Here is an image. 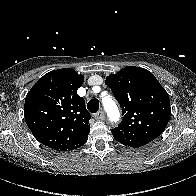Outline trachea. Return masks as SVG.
<instances>
[{"instance_id": "1", "label": "trachea", "mask_w": 196, "mask_h": 196, "mask_svg": "<svg viewBox=\"0 0 196 196\" xmlns=\"http://www.w3.org/2000/svg\"><path fill=\"white\" fill-rule=\"evenodd\" d=\"M87 108L91 113H96L99 109V101L97 99H91L87 103Z\"/></svg>"}]
</instances>
